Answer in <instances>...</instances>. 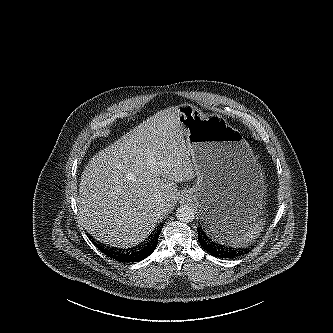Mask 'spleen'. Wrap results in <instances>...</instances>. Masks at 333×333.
Returning a JSON list of instances; mask_svg holds the SVG:
<instances>
[{
    "label": "spleen",
    "mask_w": 333,
    "mask_h": 333,
    "mask_svg": "<svg viewBox=\"0 0 333 333\" xmlns=\"http://www.w3.org/2000/svg\"><path fill=\"white\" fill-rule=\"evenodd\" d=\"M261 222L253 224L248 229H241L230 232L227 237L233 245H243L251 242L258 236L261 230Z\"/></svg>",
    "instance_id": "1"
}]
</instances>
